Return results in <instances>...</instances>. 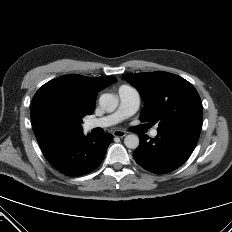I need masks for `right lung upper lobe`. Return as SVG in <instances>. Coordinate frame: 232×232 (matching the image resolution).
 Segmentation results:
<instances>
[{
	"instance_id": "cb5924a9",
	"label": "right lung upper lobe",
	"mask_w": 232,
	"mask_h": 232,
	"mask_svg": "<svg viewBox=\"0 0 232 232\" xmlns=\"http://www.w3.org/2000/svg\"><path fill=\"white\" fill-rule=\"evenodd\" d=\"M116 81L113 76L86 77L71 74L44 84L34 95L31 105V120L37 140L41 141L52 133L81 132L82 117L93 113L98 92ZM51 103H62L72 114L59 128H51L45 122L44 113Z\"/></svg>"
}]
</instances>
